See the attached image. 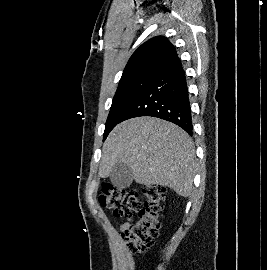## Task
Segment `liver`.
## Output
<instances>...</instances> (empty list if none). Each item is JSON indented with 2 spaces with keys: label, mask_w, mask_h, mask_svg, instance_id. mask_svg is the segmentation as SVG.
Masks as SVG:
<instances>
[{
  "label": "liver",
  "mask_w": 267,
  "mask_h": 270,
  "mask_svg": "<svg viewBox=\"0 0 267 270\" xmlns=\"http://www.w3.org/2000/svg\"><path fill=\"white\" fill-rule=\"evenodd\" d=\"M195 149L181 128L154 117L118 124L103 144L99 176L106 178L117 163L128 165L143 185L167 186L187 197L195 174Z\"/></svg>",
  "instance_id": "6515ba94"
}]
</instances>
